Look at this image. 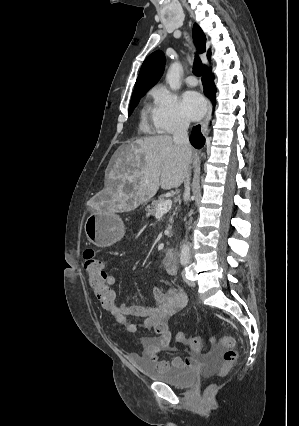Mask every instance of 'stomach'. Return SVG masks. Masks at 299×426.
Returning <instances> with one entry per match:
<instances>
[{
	"label": "stomach",
	"mask_w": 299,
	"mask_h": 426,
	"mask_svg": "<svg viewBox=\"0 0 299 426\" xmlns=\"http://www.w3.org/2000/svg\"><path fill=\"white\" fill-rule=\"evenodd\" d=\"M85 233L90 242L98 247H110L124 235V223L119 215L110 209H99L86 219Z\"/></svg>",
	"instance_id": "1"
}]
</instances>
